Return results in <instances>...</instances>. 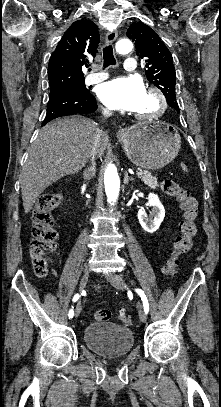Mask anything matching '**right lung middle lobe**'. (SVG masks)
Listing matches in <instances>:
<instances>
[{"mask_svg": "<svg viewBox=\"0 0 221 407\" xmlns=\"http://www.w3.org/2000/svg\"><path fill=\"white\" fill-rule=\"evenodd\" d=\"M65 91H73V92H89V90L85 87L84 81L79 82V83H74L66 86H59V87H54L50 89V96L60 93V92H65Z\"/></svg>", "mask_w": 221, "mask_h": 407, "instance_id": "obj_1", "label": "right lung middle lobe"}]
</instances>
